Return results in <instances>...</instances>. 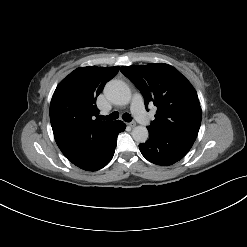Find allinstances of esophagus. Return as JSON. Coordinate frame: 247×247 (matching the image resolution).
Wrapping results in <instances>:
<instances>
[{
	"instance_id": "esophagus-1",
	"label": "esophagus",
	"mask_w": 247,
	"mask_h": 247,
	"mask_svg": "<svg viewBox=\"0 0 247 247\" xmlns=\"http://www.w3.org/2000/svg\"><path fill=\"white\" fill-rule=\"evenodd\" d=\"M128 125H129L131 128H133V127L136 126V123H135V122H130V123H128Z\"/></svg>"
}]
</instances>
